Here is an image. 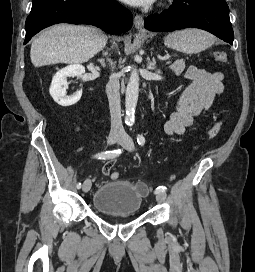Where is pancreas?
I'll use <instances>...</instances> for the list:
<instances>
[{"instance_id": "obj_1", "label": "pancreas", "mask_w": 255, "mask_h": 272, "mask_svg": "<svg viewBox=\"0 0 255 272\" xmlns=\"http://www.w3.org/2000/svg\"><path fill=\"white\" fill-rule=\"evenodd\" d=\"M176 75H180L185 69L184 61H176L169 67Z\"/></svg>"}]
</instances>
